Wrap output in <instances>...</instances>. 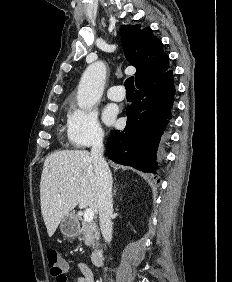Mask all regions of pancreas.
<instances>
[{"label":"pancreas","mask_w":232,"mask_h":282,"mask_svg":"<svg viewBox=\"0 0 232 282\" xmlns=\"http://www.w3.org/2000/svg\"><path fill=\"white\" fill-rule=\"evenodd\" d=\"M81 232L83 235V240L87 246L94 248L96 245H98L100 235L95 222H87L82 220Z\"/></svg>","instance_id":"1"}]
</instances>
